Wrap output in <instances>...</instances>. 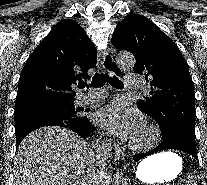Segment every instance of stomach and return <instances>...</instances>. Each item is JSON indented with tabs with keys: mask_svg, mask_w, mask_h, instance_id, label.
Here are the masks:
<instances>
[{
	"mask_svg": "<svg viewBox=\"0 0 207 185\" xmlns=\"http://www.w3.org/2000/svg\"><path fill=\"white\" fill-rule=\"evenodd\" d=\"M182 170L181 158L172 152L150 156L137 167L136 177L147 184L170 182Z\"/></svg>",
	"mask_w": 207,
	"mask_h": 185,
	"instance_id": "1",
	"label": "stomach"
}]
</instances>
